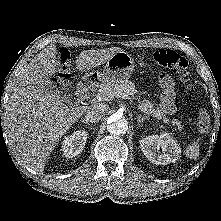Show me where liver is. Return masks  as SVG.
Wrapping results in <instances>:
<instances>
[{"label": "liver", "instance_id": "1", "mask_svg": "<svg viewBox=\"0 0 221 221\" xmlns=\"http://www.w3.org/2000/svg\"><path fill=\"white\" fill-rule=\"evenodd\" d=\"M121 48L82 51L76 68L85 78L92 68L106 63ZM57 48L43 49L20 72L6 109L4 127L15 157L28 167L42 172L46 159L59 139L85 113L87 106L68 107L44 84L57 73ZM64 86L71 83L60 80Z\"/></svg>", "mask_w": 221, "mask_h": 221}]
</instances>
